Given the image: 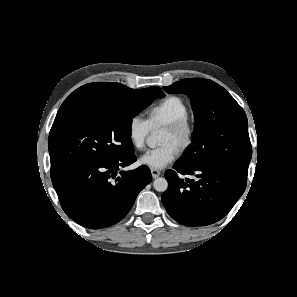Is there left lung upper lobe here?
Segmentation results:
<instances>
[{"label": "left lung upper lobe", "instance_id": "1", "mask_svg": "<svg viewBox=\"0 0 297 297\" xmlns=\"http://www.w3.org/2000/svg\"><path fill=\"white\" fill-rule=\"evenodd\" d=\"M163 89L187 94L194 111L192 143L177 163L220 166L247 176L252 157L247 117L228 91L201 78L182 79Z\"/></svg>", "mask_w": 297, "mask_h": 297}]
</instances>
